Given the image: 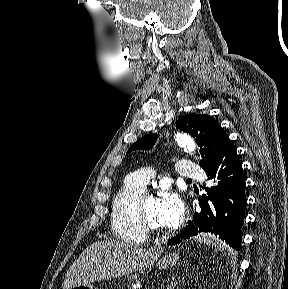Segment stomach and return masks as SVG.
<instances>
[{
  "mask_svg": "<svg viewBox=\"0 0 288 289\" xmlns=\"http://www.w3.org/2000/svg\"><path fill=\"white\" fill-rule=\"evenodd\" d=\"M179 258L180 256L178 253L171 252L158 260V266L161 270L169 269L172 266L177 264V262L179 261ZM74 289H93V286L90 283L81 284V285L74 287Z\"/></svg>",
  "mask_w": 288,
  "mask_h": 289,
  "instance_id": "stomach-1",
  "label": "stomach"
}]
</instances>
